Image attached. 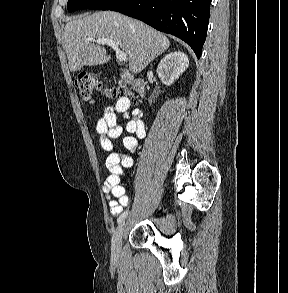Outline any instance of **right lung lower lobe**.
<instances>
[{"instance_id": "98d812e1", "label": "right lung lower lobe", "mask_w": 288, "mask_h": 293, "mask_svg": "<svg viewBox=\"0 0 288 293\" xmlns=\"http://www.w3.org/2000/svg\"><path fill=\"white\" fill-rule=\"evenodd\" d=\"M210 3L211 0H123L109 10L177 36L200 58L208 29Z\"/></svg>"}]
</instances>
